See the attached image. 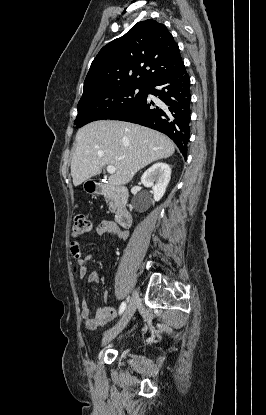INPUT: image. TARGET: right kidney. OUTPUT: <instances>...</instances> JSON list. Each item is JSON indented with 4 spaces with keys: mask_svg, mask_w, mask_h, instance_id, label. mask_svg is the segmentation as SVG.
Segmentation results:
<instances>
[{
    "mask_svg": "<svg viewBox=\"0 0 266 415\" xmlns=\"http://www.w3.org/2000/svg\"><path fill=\"white\" fill-rule=\"evenodd\" d=\"M171 168L166 163H156L147 169L141 177L145 187L152 188L154 201H159L169 184Z\"/></svg>",
    "mask_w": 266,
    "mask_h": 415,
    "instance_id": "obj_1",
    "label": "right kidney"
}]
</instances>
